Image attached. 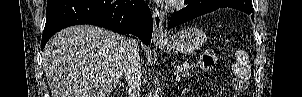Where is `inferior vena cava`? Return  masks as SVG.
<instances>
[{
	"label": "inferior vena cava",
	"mask_w": 302,
	"mask_h": 97,
	"mask_svg": "<svg viewBox=\"0 0 302 97\" xmlns=\"http://www.w3.org/2000/svg\"><path fill=\"white\" fill-rule=\"evenodd\" d=\"M124 75L130 97H140L141 92V63L139 46L134 37L125 39Z\"/></svg>",
	"instance_id": "1"
}]
</instances>
